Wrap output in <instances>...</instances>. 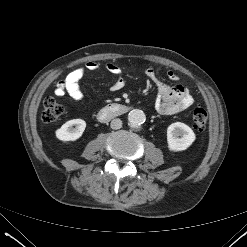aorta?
Segmentation results:
<instances>
[{
  "mask_svg": "<svg viewBox=\"0 0 247 247\" xmlns=\"http://www.w3.org/2000/svg\"><path fill=\"white\" fill-rule=\"evenodd\" d=\"M146 120L145 113L140 109H133L128 114V123L133 128H138Z\"/></svg>",
  "mask_w": 247,
  "mask_h": 247,
  "instance_id": "1",
  "label": "aorta"
}]
</instances>
